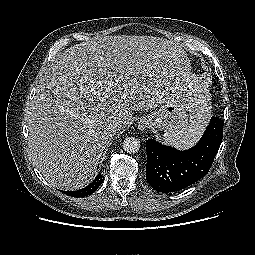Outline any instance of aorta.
<instances>
[{"label": "aorta", "instance_id": "obj_1", "mask_svg": "<svg viewBox=\"0 0 255 255\" xmlns=\"http://www.w3.org/2000/svg\"><path fill=\"white\" fill-rule=\"evenodd\" d=\"M123 149L129 154H134L139 151L140 142L135 137H127L123 141Z\"/></svg>", "mask_w": 255, "mask_h": 255}]
</instances>
